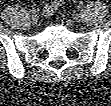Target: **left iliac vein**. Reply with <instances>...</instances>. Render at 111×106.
Returning a JSON list of instances; mask_svg holds the SVG:
<instances>
[{"label":"left iliac vein","instance_id":"1","mask_svg":"<svg viewBox=\"0 0 111 106\" xmlns=\"http://www.w3.org/2000/svg\"><path fill=\"white\" fill-rule=\"evenodd\" d=\"M73 18H74V20H75L76 22H80L81 19H82V15H81V14H75Z\"/></svg>","mask_w":111,"mask_h":106}]
</instances>
